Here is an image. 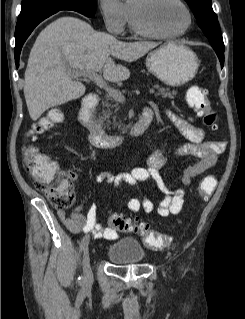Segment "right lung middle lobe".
Instances as JSON below:
<instances>
[{
    "label": "right lung middle lobe",
    "mask_w": 245,
    "mask_h": 319,
    "mask_svg": "<svg viewBox=\"0 0 245 319\" xmlns=\"http://www.w3.org/2000/svg\"><path fill=\"white\" fill-rule=\"evenodd\" d=\"M96 0H22L19 21L33 16L61 9L77 11L87 17H94Z\"/></svg>",
    "instance_id": "dd1d6c3e"
}]
</instances>
